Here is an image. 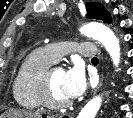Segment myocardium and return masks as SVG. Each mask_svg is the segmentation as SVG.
I'll return each instance as SVG.
<instances>
[{
  "label": "myocardium",
  "mask_w": 133,
  "mask_h": 118,
  "mask_svg": "<svg viewBox=\"0 0 133 118\" xmlns=\"http://www.w3.org/2000/svg\"><path fill=\"white\" fill-rule=\"evenodd\" d=\"M54 67H48L45 72L43 73L41 80H40V99L46 108L50 110H64L67 109L72 105L70 100L67 101H58L54 99L51 93V72Z\"/></svg>",
  "instance_id": "1"
}]
</instances>
